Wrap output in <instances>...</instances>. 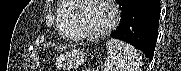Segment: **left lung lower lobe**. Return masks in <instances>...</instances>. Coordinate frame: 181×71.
Segmentation results:
<instances>
[{"instance_id":"left-lung-lower-lobe-1","label":"left lung lower lobe","mask_w":181,"mask_h":71,"mask_svg":"<svg viewBox=\"0 0 181 71\" xmlns=\"http://www.w3.org/2000/svg\"><path fill=\"white\" fill-rule=\"evenodd\" d=\"M120 26L112 38L123 40L142 50L152 60L160 17V0H120Z\"/></svg>"}]
</instances>
